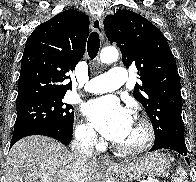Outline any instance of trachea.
<instances>
[{"label": "trachea", "mask_w": 196, "mask_h": 182, "mask_svg": "<svg viewBox=\"0 0 196 182\" xmlns=\"http://www.w3.org/2000/svg\"><path fill=\"white\" fill-rule=\"evenodd\" d=\"M100 48V39L97 32H92L87 42V52L91 59H94Z\"/></svg>", "instance_id": "1"}]
</instances>
